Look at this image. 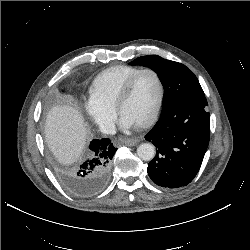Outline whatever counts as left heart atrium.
I'll list each match as a JSON object with an SVG mask.
<instances>
[{
  "instance_id": "1",
  "label": "left heart atrium",
  "mask_w": 250,
  "mask_h": 250,
  "mask_svg": "<svg viewBox=\"0 0 250 250\" xmlns=\"http://www.w3.org/2000/svg\"><path fill=\"white\" fill-rule=\"evenodd\" d=\"M120 126L123 128V129H130L131 127H133L134 125L128 121L126 118L124 117H121L120 119Z\"/></svg>"
}]
</instances>
